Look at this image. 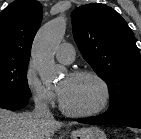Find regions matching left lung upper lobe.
<instances>
[{
    "instance_id": "left-lung-upper-lobe-1",
    "label": "left lung upper lobe",
    "mask_w": 141,
    "mask_h": 139,
    "mask_svg": "<svg viewBox=\"0 0 141 139\" xmlns=\"http://www.w3.org/2000/svg\"><path fill=\"white\" fill-rule=\"evenodd\" d=\"M73 36L84 59L108 85L109 109L141 100V58L132 30L100 3L72 12Z\"/></svg>"
}]
</instances>
